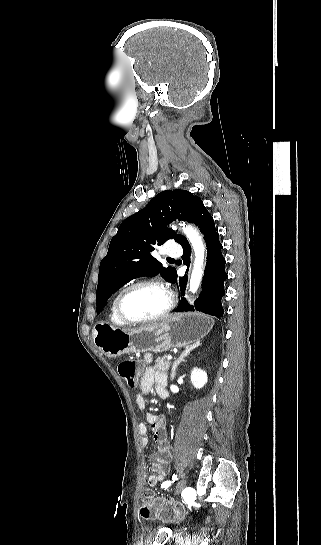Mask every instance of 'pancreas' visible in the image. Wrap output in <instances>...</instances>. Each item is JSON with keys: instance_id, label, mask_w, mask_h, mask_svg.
<instances>
[{"instance_id": "1", "label": "pancreas", "mask_w": 321, "mask_h": 545, "mask_svg": "<svg viewBox=\"0 0 321 545\" xmlns=\"http://www.w3.org/2000/svg\"><path fill=\"white\" fill-rule=\"evenodd\" d=\"M169 367L170 361H166V357H162V359H157L154 365V369H156V371H160V373H167Z\"/></svg>"}]
</instances>
